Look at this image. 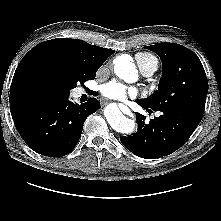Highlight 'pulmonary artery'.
Segmentation results:
<instances>
[{"mask_svg":"<svg viewBox=\"0 0 221 221\" xmlns=\"http://www.w3.org/2000/svg\"><path fill=\"white\" fill-rule=\"evenodd\" d=\"M140 69H141L142 74L148 77V76H151L157 70V66L154 64H150L142 68L140 67Z\"/></svg>","mask_w":221,"mask_h":221,"instance_id":"e3ab8cb5","label":"pulmonary artery"}]
</instances>
